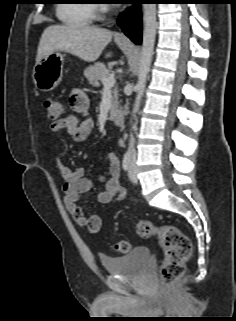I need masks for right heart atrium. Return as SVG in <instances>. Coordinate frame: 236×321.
<instances>
[{
	"mask_svg": "<svg viewBox=\"0 0 236 321\" xmlns=\"http://www.w3.org/2000/svg\"><path fill=\"white\" fill-rule=\"evenodd\" d=\"M104 11H105V7L104 6H102V5L95 6L94 13L100 14V13H103Z\"/></svg>",
	"mask_w": 236,
	"mask_h": 321,
	"instance_id": "d8ad5b80",
	"label": "right heart atrium"
}]
</instances>
